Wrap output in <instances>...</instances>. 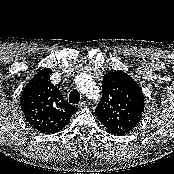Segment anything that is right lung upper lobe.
<instances>
[{
    "label": "right lung upper lobe",
    "instance_id": "1",
    "mask_svg": "<svg viewBox=\"0 0 174 174\" xmlns=\"http://www.w3.org/2000/svg\"><path fill=\"white\" fill-rule=\"evenodd\" d=\"M52 70H40L25 86L20 97L27 122L43 134L63 129L78 108L64 101L63 95L50 81Z\"/></svg>",
    "mask_w": 174,
    "mask_h": 174
}]
</instances>
